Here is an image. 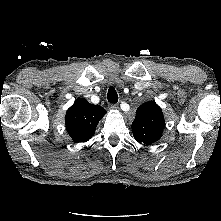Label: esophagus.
Wrapping results in <instances>:
<instances>
[{
  "label": "esophagus",
  "mask_w": 221,
  "mask_h": 221,
  "mask_svg": "<svg viewBox=\"0 0 221 221\" xmlns=\"http://www.w3.org/2000/svg\"><path fill=\"white\" fill-rule=\"evenodd\" d=\"M109 109H111V110H117V109H118V105H117V104H111V105L109 106Z\"/></svg>",
  "instance_id": "1"
}]
</instances>
